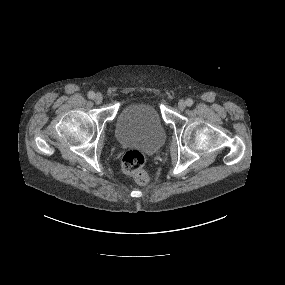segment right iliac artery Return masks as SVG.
I'll return each instance as SVG.
<instances>
[{
  "instance_id": "82829eb1",
  "label": "right iliac artery",
  "mask_w": 285,
  "mask_h": 285,
  "mask_svg": "<svg viewBox=\"0 0 285 285\" xmlns=\"http://www.w3.org/2000/svg\"><path fill=\"white\" fill-rule=\"evenodd\" d=\"M94 96H95V93H94L93 91H90V92L88 93V98H89V99H93Z\"/></svg>"
}]
</instances>
